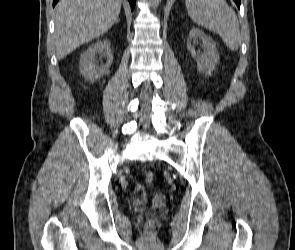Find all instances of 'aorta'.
I'll list each match as a JSON object with an SVG mask.
<instances>
[{
  "instance_id": "aorta-1",
  "label": "aorta",
  "mask_w": 295,
  "mask_h": 250,
  "mask_svg": "<svg viewBox=\"0 0 295 250\" xmlns=\"http://www.w3.org/2000/svg\"><path fill=\"white\" fill-rule=\"evenodd\" d=\"M161 2V0H150V4L156 8L158 7L159 3Z\"/></svg>"
}]
</instances>
